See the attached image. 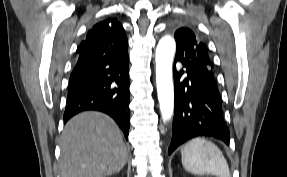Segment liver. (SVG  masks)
<instances>
[{"mask_svg":"<svg viewBox=\"0 0 287 177\" xmlns=\"http://www.w3.org/2000/svg\"><path fill=\"white\" fill-rule=\"evenodd\" d=\"M61 177H105L121 171L127 148L116 123L100 112L70 119L61 135Z\"/></svg>","mask_w":287,"mask_h":177,"instance_id":"6515ba94","label":"liver"}]
</instances>
